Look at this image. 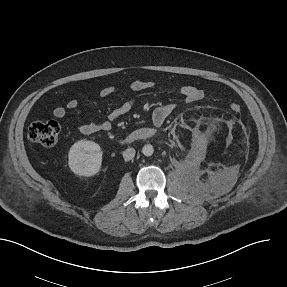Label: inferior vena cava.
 Masks as SVG:
<instances>
[{
    "instance_id": "1",
    "label": "inferior vena cava",
    "mask_w": 287,
    "mask_h": 287,
    "mask_svg": "<svg viewBox=\"0 0 287 287\" xmlns=\"http://www.w3.org/2000/svg\"><path fill=\"white\" fill-rule=\"evenodd\" d=\"M135 149L134 148H128L123 152V158L125 161L132 160L135 156Z\"/></svg>"
}]
</instances>
